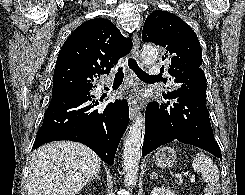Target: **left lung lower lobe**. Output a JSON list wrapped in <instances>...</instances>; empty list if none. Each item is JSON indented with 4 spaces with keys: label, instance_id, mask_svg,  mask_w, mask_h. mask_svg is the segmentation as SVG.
Instances as JSON below:
<instances>
[{
    "label": "left lung lower lobe",
    "instance_id": "obj_1",
    "mask_svg": "<svg viewBox=\"0 0 245 195\" xmlns=\"http://www.w3.org/2000/svg\"><path fill=\"white\" fill-rule=\"evenodd\" d=\"M165 99V103L147 105L142 156L175 140L202 148L222 160L205 100L188 94Z\"/></svg>",
    "mask_w": 245,
    "mask_h": 195
}]
</instances>
